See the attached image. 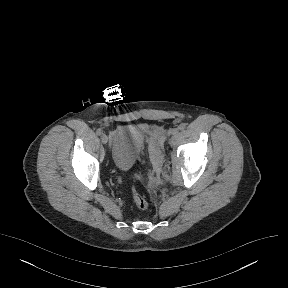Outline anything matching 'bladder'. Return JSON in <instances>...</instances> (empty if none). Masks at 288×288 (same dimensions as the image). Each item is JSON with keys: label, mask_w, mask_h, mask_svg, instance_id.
<instances>
[{"label": "bladder", "mask_w": 288, "mask_h": 288, "mask_svg": "<svg viewBox=\"0 0 288 288\" xmlns=\"http://www.w3.org/2000/svg\"><path fill=\"white\" fill-rule=\"evenodd\" d=\"M146 131L138 126H120L110 134V154L113 165L121 171L130 170L145 143Z\"/></svg>", "instance_id": "31cf9c89"}]
</instances>
